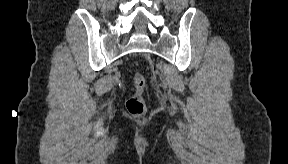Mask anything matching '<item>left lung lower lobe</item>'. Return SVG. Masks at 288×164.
I'll list each match as a JSON object with an SVG mask.
<instances>
[{
    "instance_id": "left-lung-lower-lobe-1",
    "label": "left lung lower lobe",
    "mask_w": 288,
    "mask_h": 164,
    "mask_svg": "<svg viewBox=\"0 0 288 164\" xmlns=\"http://www.w3.org/2000/svg\"><path fill=\"white\" fill-rule=\"evenodd\" d=\"M258 76V88L255 95L261 100L263 98V88L265 87L266 81L262 74H257Z\"/></svg>"
}]
</instances>
